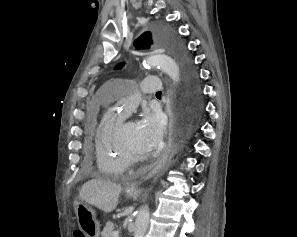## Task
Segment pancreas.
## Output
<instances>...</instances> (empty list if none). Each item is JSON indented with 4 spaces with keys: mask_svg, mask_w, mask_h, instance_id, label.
Returning a JSON list of instances; mask_svg holds the SVG:
<instances>
[{
    "mask_svg": "<svg viewBox=\"0 0 297 237\" xmlns=\"http://www.w3.org/2000/svg\"><path fill=\"white\" fill-rule=\"evenodd\" d=\"M114 224L112 222H107L106 226L104 227L103 231L101 232V237H112L114 232Z\"/></svg>",
    "mask_w": 297,
    "mask_h": 237,
    "instance_id": "obj_1",
    "label": "pancreas"
}]
</instances>
